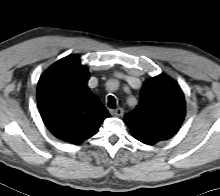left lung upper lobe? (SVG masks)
Masks as SVG:
<instances>
[{
	"label": "left lung upper lobe",
	"mask_w": 220,
	"mask_h": 196,
	"mask_svg": "<svg viewBox=\"0 0 220 196\" xmlns=\"http://www.w3.org/2000/svg\"><path fill=\"white\" fill-rule=\"evenodd\" d=\"M185 117L182 90L172 79L161 74L144 82L140 102L124 116L132 135L147 145L170 139Z\"/></svg>",
	"instance_id": "5c2ea615"
}]
</instances>
